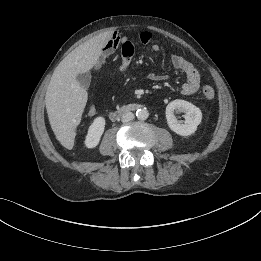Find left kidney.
I'll return each instance as SVG.
<instances>
[{
  "label": "left kidney",
  "instance_id": "5707ae66",
  "mask_svg": "<svg viewBox=\"0 0 261 261\" xmlns=\"http://www.w3.org/2000/svg\"><path fill=\"white\" fill-rule=\"evenodd\" d=\"M184 112L185 121H178L174 111ZM166 119L169 128L178 135L190 136L195 133L202 120L201 110L190 102L176 99L166 107Z\"/></svg>",
  "mask_w": 261,
  "mask_h": 261
}]
</instances>
